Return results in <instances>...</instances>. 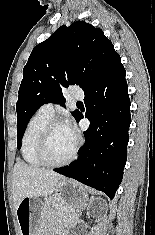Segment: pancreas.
Wrapping results in <instances>:
<instances>
[{
  "instance_id": "1",
  "label": "pancreas",
  "mask_w": 155,
  "mask_h": 235,
  "mask_svg": "<svg viewBox=\"0 0 155 235\" xmlns=\"http://www.w3.org/2000/svg\"><path fill=\"white\" fill-rule=\"evenodd\" d=\"M47 204L46 212L53 214L57 217H60L67 223H75L77 219V214L72 213L70 209L62 204H56L51 202L49 199L45 200Z\"/></svg>"
}]
</instances>
